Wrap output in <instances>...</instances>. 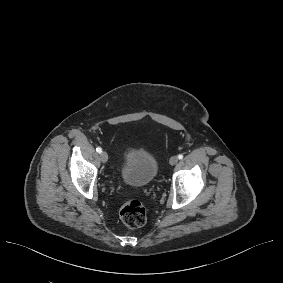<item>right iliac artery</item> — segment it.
Here are the masks:
<instances>
[{"mask_svg":"<svg viewBox=\"0 0 283 283\" xmlns=\"http://www.w3.org/2000/svg\"><path fill=\"white\" fill-rule=\"evenodd\" d=\"M96 151L100 154L102 152V149L100 147H97Z\"/></svg>","mask_w":283,"mask_h":283,"instance_id":"obj_1","label":"right iliac artery"}]
</instances>
